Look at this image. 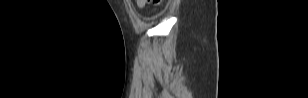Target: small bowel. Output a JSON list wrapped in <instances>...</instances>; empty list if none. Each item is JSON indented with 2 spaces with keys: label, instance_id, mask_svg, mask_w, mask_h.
I'll return each instance as SVG.
<instances>
[{
  "label": "small bowel",
  "instance_id": "c3829d8e",
  "mask_svg": "<svg viewBox=\"0 0 308 98\" xmlns=\"http://www.w3.org/2000/svg\"><path fill=\"white\" fill-rule=\"evenodd\" d=\"M140 7H144V6H142V5H140V4H138Z\"/></svg>",
  "mask_w": 308,
  "mask_h": 98
}]
</instances>
